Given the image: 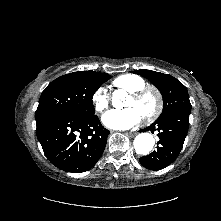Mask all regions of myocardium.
Instances as JSON below:
<instances>
[{
	"instance_id": "myocardium-1",
	"label": "myocardium",
	"mask_w": 221,
	"mask_h": 221,
	"mask_svg": "<svg viewBox=\"0 0 221 221\" xmlns=\"http://www.w3.org/2000/svg\"><path fill=\"white\" fill-rule=\"evenodd\" d=\"M148 93H152L155 96L156 105H155L154 110L150 114L143 117V121L146 123H151L155 121L161 115L163 111L164 99H163L162 93L154 86L145 85L142 88H139L133 92H130V96L138 100L144 97Z\"/></svg>"
}]
</instances>
